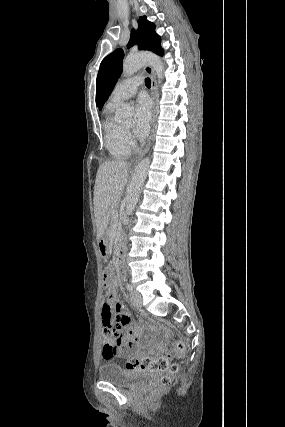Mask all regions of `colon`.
<instances>
[{
	"instance_id": "obj_1",
	"label": "colon",
	"mask_w": 285,
	"mask_h": 427,
	"mask_svg": "<svg viewBox=\"0 0 285 427\" xmlns=\"http://www.w3.org/2000/svg\"><path fill=\"white\" fill-rule=\"evenodd\" d=\"M103 283L106 288L104 293V303H109L114 298L113 292V274L110 269L102 271ZM104 346L102 350L103 358L111 360L118 351L121 344V329L119 325L114 324L103 327ZM185 351V344L182 341L174 342L165 356L150 359L146 357H131L127 360V367L132 370H146L153 373L161 374L158 384L153 388L152 395L155 396L166 391L172 384L173 378L178 372L176 364L170 365L174 358H180Z\"/></svg>"
}]
</instances>
